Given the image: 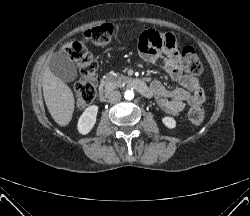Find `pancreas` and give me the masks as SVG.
Masks as SVG:
<instances>
[{
    "instance_id": "pancreas-1",
    "label": "pancreas",
    "mask_w": 250,
    "mask_h": 216,
    "mask_svg": "<svg viewBox=\"0 0 250 216\" xmlns=\"http://www.w3.org/2000/svg\"><path fill=\"white\" fill-rule=\"evenodd\" d=\"M128 80V77L120 74H109L106 76L104 83L111 88H116L121 85L124 81Z\"/></svg>"
}]
</instances>
